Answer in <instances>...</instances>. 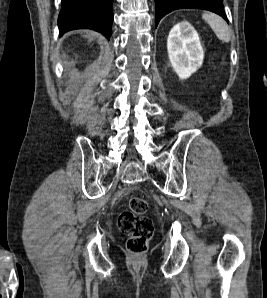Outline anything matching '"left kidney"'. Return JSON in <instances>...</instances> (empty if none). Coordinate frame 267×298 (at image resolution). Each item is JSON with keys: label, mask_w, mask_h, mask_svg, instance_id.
Wrapping results in <instances>:
<instances>
[{"label": "left kidney", "mask_w": 267, "mask_h": 298, "mask_svg": "<svg viewBox=\"0 0 267 298\" xmlns=\"http://www.w3.org/2000/svg\"><path fill=\"white\" fill-rule=\"evenodd\" d=\"M167 51L170 63L182 80L202 65L204 52L197 31L187 21L176 24L169 32Z\"/></svg>", "instance_id": "left-kidney-1"}]
</instances>
